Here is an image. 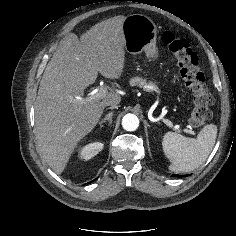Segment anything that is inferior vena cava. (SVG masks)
I'll return each mask as SVG.
<instances>
[{
	"mask_svg": "<svg viewBox=\"0 0 236 236\" xmlns=\"http://www.w3.org/2000/svg\"><path fill=\"white\" fill-rule=\"evenodd\" d=\"M108 106H110V109H117L118 103H110V104H108Z\"/></svg>",
	"mask_w": 236,
	"mask_h": 236,
	"instance_id": "1",
	"label": "inferior vena cava"
}]
</instances>
